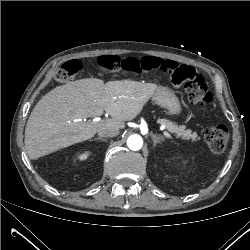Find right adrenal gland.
<instances>
[{"label":"right adrenal gland","mask_w":250,"mask_h":250,"mask_svg":"<svg viewBox=\"0 0 250 250\" xmlns=\"http://www.w3.org/2000/svg\"><path fill=\"white\" fill-rule=\"evenodd\" d=\"M93 140H100V141H107V139H103V138H101V137H96V138H94Z\"/></svg>","instance_id":"right-adrenal-gland-1"}]
</instances>
